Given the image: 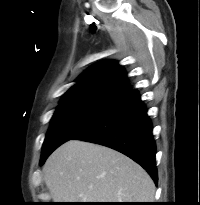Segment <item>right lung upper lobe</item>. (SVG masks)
I'll list each match as a JSON object with an SVG mask.
<instances>
[{
	"mask_svg": "<svg viewBox=\"0 0 200 205\" xmlns=\"http://www.w3.org/2000/svg\"><path fill=\"white\" fill-rule=\"evenodd\" d=\"M130 90L122 66L115 61H103L86 70L61 102L76 99L116 101Z\"/></svg>",
	"mask_w": 200,
	"mask_h": 205,
	"instance_id": "obj_1",
	"label": "right lung upper lobe"
}]
</instances>
